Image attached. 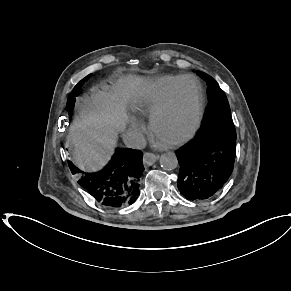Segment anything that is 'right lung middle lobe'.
<instances>
[{"mask_svg": "<svg viewBox=\"0 0 291 291\" xmlns=\"http://www.w3.org/2000/svg\"><path fill=\"white\" fill-rule=\"evenodd\" d=\"M91 77V74H89L88 76H86L85 78H83L73 89L71 96L68 99L67 102V108H68V113H69V117L71 118L72 114H73V109H74V104H75V100H76V96L78 95V93L80 92V89L82 87V85L84 84L85 81H87L89 78Z\"/></svg>", "mask_w": 291, "mask_h": 291, "instance_id": "dd1d6c3e", "label": "right lung middle lobe"}]
</instances>
